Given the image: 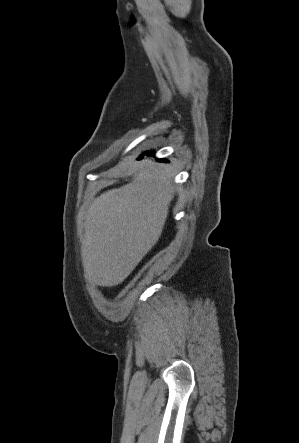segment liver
Instances as JSON below:
<instances>
[{"label": "liver", "mask_w": 299, "mask_h": 443, "mask_svg": "<svg viewBox=\"0 0 299 443\" xmlns=\"http://www.w3.org/2000/svg\"><path fill=\"white\" fill-rule=\"evenodd\" d=\"M173 175L170 166L143 162L131 183L94 200L81 250L87 281L120 284L157 243L174 197Z\"/></svg>", "instance_id": "6515ba94"}]
</instances>
